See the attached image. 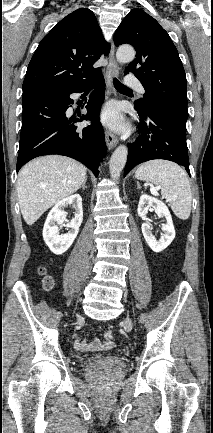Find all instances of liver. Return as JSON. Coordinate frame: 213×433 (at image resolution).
I'll use <instances>...</instances> for the list:
<instances>
[{
  "label": "liver",
  "instance_id": "6515ba94",
  "mask_svg": "<svg viewBox=\"0 0 213 433\" xmlns=\"http://www.w3.org/2000/svg\"><path fill=\"white\" fill-rule=\"evenodd\" d=\"M86 179V167L69 157L47 155L27 163L17 180L25 222L34 224L47 209L81 188Z\"/></svg>",
  "mask_w": 213,
  "mask_h": 433
}]
</instances>
